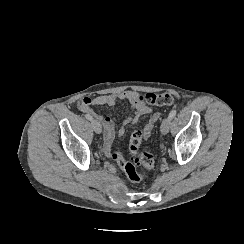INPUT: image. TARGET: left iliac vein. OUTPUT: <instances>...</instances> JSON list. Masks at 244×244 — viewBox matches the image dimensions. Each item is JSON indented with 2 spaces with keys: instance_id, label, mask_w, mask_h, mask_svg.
<instances>
[{
  "instance_id": "obj_1",
  "label": "left iliac vein",
  "mask_w": 244,
  "mask_h": 244,
  "mask_svg": "<svg viewBox=\"0 0 244 244\" xmlns=\"http://www.w3.org/2000/svg\"><path fill=\"white\" fill-rule=\"evenodd\" d=\"M170 125H171V119L169 117L165 118L161 123V127H160L161 133L167 134L169 131Z\"/></svg>"
}]
</instances>
